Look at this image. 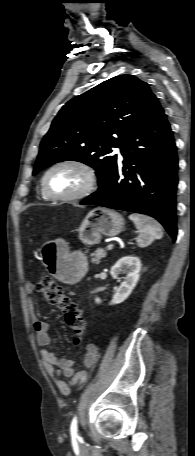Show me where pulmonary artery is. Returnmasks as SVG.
Here are the masks:
<instances>
[{"mask_svg":"<svg viewBox=\"0 0 195 456\" xmlns=\"http://www.w3.org/2000/svg\"><path fill=\"white\" fill-rule=\"evenodd\" d=\"M115 152L120 156V149H116Z\"/></svg>","mask_w":195,"mask_h":456,"instance_id":"e3ab8cb5","label":"pulmonary artery"}]
</instances>
